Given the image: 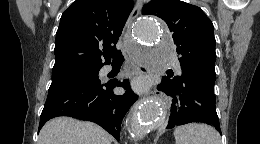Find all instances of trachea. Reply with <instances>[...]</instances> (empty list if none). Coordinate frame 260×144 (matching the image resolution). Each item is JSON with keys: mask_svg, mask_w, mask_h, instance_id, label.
Here are the masks:
<instances>
[{"mask_svg": "<svg viewBox=\"0 0 260 144\" xmlns=\"http://www.w3.org/2000/svg\"><path fill=\"white\" fill-rule=\"evenodd\" d=\"M112 57L113 63H122L124 61V57L121 51H116L115 53H113Z\"/></svg>", "mask_w": 260, "mask_h": 144, "instance_id": "obj_1", "label": "trachea"}]
</instances>
